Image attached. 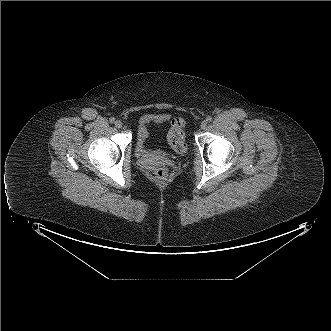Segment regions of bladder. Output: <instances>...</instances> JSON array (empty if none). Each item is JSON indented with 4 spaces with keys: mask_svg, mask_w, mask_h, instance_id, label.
I'll list each match as a JSON object with an SVG mask.
<instances>
[{
    "mask_svg": "<svg viewBox=\"0 0 331 331\" xmlns=\"http://www.w3.org/2000/svg\"><path fill=\"white\" fill-rule=\"evenodd\" d=\"M151 138V130H150V121L143 120L136 132L135 136V152L140 158H147V159H161L167 157L169 152L161 147H150L149 141ZM187 148L184 147L179 154H185Z\"/></svg>",
    "mask_w": 331,
    "mask_h": 331,
    "instance_id": "31cf9c89",
    "label": "bladder"
}]
</instances>
